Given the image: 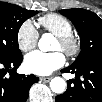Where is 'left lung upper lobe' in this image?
<instances>
[{"label":"left lung upper lobe","instance_id":"obj_1","mask_svg":"<svg viewBox=\"0 0 102 102\" xmlns=\"http://www.w3.org/2000/svg\"><path fill=\"white\" fill-rule=\"evenodd\" d=\"M75 25L81 41V52L72 65L92 60L102 61V20L85 9L59 11Z\"/></svg>","mask_w":102,"mask_h":102}]
</instances>
